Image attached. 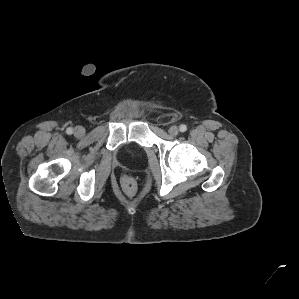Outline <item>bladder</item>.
<instances>
[{
	"mask_svg": "<svg viewBox=\"0 0 299 299\" xmlns=\"http://www.w3.org/2000/svg\"><path fill=\"white\" fill-rule=\"evenodd\" d=\"M122 155L129 163H136L144 157V149L134 143H128L122 148Z\"/></svg>",
	"mask_w": 299,
	"mask_h": 299,
	"instance_id": "obj_1",
	"label": "bladder"
}]
</instances>
